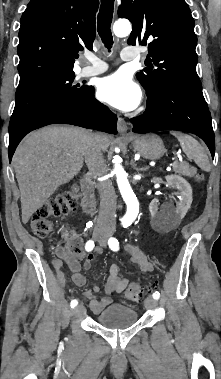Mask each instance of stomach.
I'll return each mask as SVG.
<instances>
[{
    "label": "stomach",
    "mask_w": 221,
    "mask_h": 379,
    "mask_svg": "<svg viewBox=\"0 0 221 379\" xmlns=\"http://www.w3.org/2000/svg\"><path fill=\"white\" fill-rule=\"evenodd\" d=\"M132 144L135 151L150 160L159 159L166 152L163 141L155 134L135 137Z\"/></svg>",
    "instance_id": "1"
}]
</instances>
